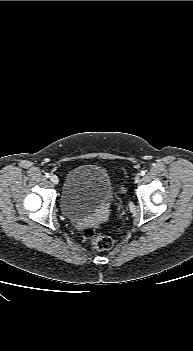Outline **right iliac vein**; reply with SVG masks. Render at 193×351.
Returning a JSON list of instances; mask_svg holds the SVG:
<instances>
[{"label": "right iliac vein", "mask_w": 193, "mask_h": 351, "mask_svg": "<svg viewBox=\"0 0 193 351\" xmlns=\"http://www.w3.org/2000/svg\"><path fill=\"white\" fill-rule=\"evenodd\" d=\"M50 180H51V182L53 183V184H58L59 183V179H58V177L56 176V175H52L51 177H50Z\"/></svg>", "instance_id": "obj_1"}]
</instances>
